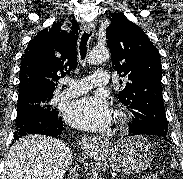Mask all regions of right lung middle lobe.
Here are the masks:
<instances>
[{
  "label": "right lung middle lobe",
  "mask_w": 183,
  "mask_h": 179,
  "mask_svg": "<svg viewBox=\"0 0 183 179\" xmlns=\"http://www.w3.org/2000/svg\"><path fill=\"white\" fill-rule=\"evenodd\" d=\"M53 94H37L18 98L16 130L34 122H52L58 119L56 107L50 104Z\"/></svg>",
  "instance_id": "dd1d6c3e"
}]
</instances>
